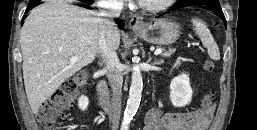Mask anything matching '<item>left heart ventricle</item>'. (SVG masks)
I'll return each instance as SVG.
<instances>
[{
	"label": "left heart ventricle",
	"instance_id": "b2bd125f",
	"mask_svg": "<svg viewBox=\"0 0 257 130\" xmlns=\"http://www.w3.org/2000/svg\"><path fill=\"white\" fill-rule=\"evenodd\" d=\"M163 0H143L142 2L143 3H146V4H151V5H153V4H158V3H160V2H162Z\"/></svg>",
	"mask_w": 257,
	"mask_h": 130
}]
</instances>
